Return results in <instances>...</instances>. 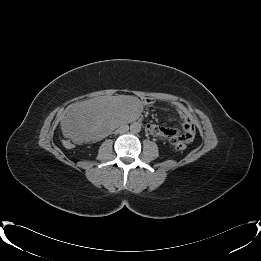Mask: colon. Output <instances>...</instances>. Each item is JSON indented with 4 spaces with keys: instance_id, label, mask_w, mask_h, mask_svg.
I'll list each match as a JSON object with an SVG mask.
<instances>
[{
    "instance_id": "5ec220e1",
    "label": "colon",
    "mask_w": 261,
    "mask_h": 261,
    "mask_svg": "<svg viewBox=\"0 0 261 261\" xmlns=\"http://www.w3.org/2000/svg\"><path fill=\"white\" fill-rule=\"evenodd\" d=\"M172 143L177 151H184L186 149V141L180 136L173 138Z\"/></svg>"
}]
</instances>
